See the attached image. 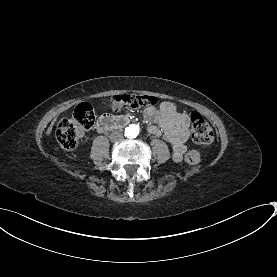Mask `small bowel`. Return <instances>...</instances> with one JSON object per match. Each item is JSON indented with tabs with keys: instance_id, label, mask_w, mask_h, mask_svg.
I'll list each match as a JSON object with an SVG mask.
<instances>
[{
	"instance_id": "c3829d8e",
	"label": "small bowel",
	"mask_w": 277,
	"mask_h": 277,
	"mask_svg": "<svg viewBox=\"0 0 277 277\" xmlns=\"http://www.w3.org/2000/svg\"><path fill=\"white\" fill-rule=\"evenodd\" d=\"M144 116L152 122L147 128L148 133L156 137L163 135L172 146L173 159L180 162L186 151V141L190 136L189 116L179 112L169 101L146 108Z\"/></svg>"
}]
</instances>
